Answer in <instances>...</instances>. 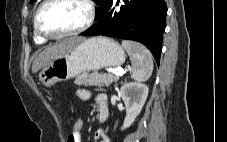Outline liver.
Masks as SVG:
<instances>
[{"mask_svg": "<svg viewBox=\"0 0 227 142\" xmlns=\"http://www.w3.org/2000/svg\"><path fill=\"white\" fill-rule=\"evenodd\" d=\"M83 37H70L66 38L52 46L43 50L34 60L32 64V72L37 73L41 68L50 64L56 58L71 51L77 44L84 41Z\"/></svg>", "mask_w": 227, "mask_h": 142, "instance_id": "1", "label": "liver"}]
</instances>
